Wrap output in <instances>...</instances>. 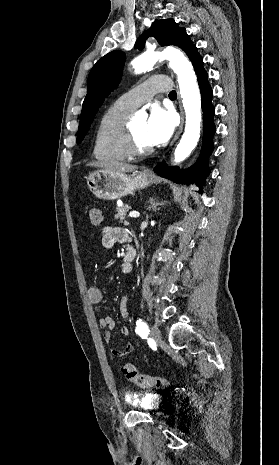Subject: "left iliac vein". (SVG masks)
<instances>
[{"instance_id": "4c4485c4", "label": "left iliac vein", "mask_w": 279, "mask_h": 465, "mask_svg": "<svg viewBox=\"0 0 279 465\" xmlns=\"http://www.w3.org/2000/svg\"><path fill=\"white\" fill-rule=\"evenodd\" d=\"M150 336L157 344L161 343L162 341L161 333H160L159 328L156 325H153L151 327Z\"/></svg>"}]
</instances>
